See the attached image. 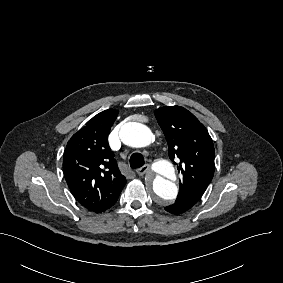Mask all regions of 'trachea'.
I'll list each match as a JSON object with an SVG mask.
<instances>
[{
    "mask_svg": "<svg viewBox=\"0 0 283 283\" xmlns=\"http://www.w3.org/2000/svg\"><path fill=\"white\" fill-rule=\"evenodd\" d=\"M129 164L132 169L142 167L145 164L143 155L138 152L133 153L130 157Z\"/></svg>",
    "mask_w": 283,
    "mask_h": 283,
    "instance_id": "obj_1",
    "label": "trachea"
}]
</instances>
